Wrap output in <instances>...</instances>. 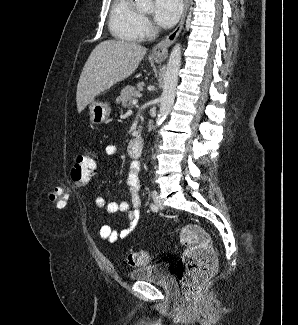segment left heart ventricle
<instances>
[{
  "instance_id": "obj_1",
  "label": "left heart ventricle",
  "mask_w": 298,
  "mask_h": 325,
  "mask_svg": "<svg viewBox=\"0 0 298 325\" xmlns=\"http://www.w3.org/2000/svg\"><path fill=\"white\" fill-rule=\"evenodd\" d=\"M139 4L140 7L145 11H149L151 9V2L149 1H140Z\"/></svg>"
}]
</instances>
